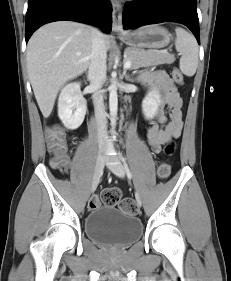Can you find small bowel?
<instances>
[{
  "mask_svg": "<svg viewBox=\"0 0 231 281\" xmlns=\"http://www.w3.org/2000/svg\"><path fill=\"white\" fill-rule=\"evenodd\" d=\"M138 80L148 90H156L159 104L167 105L168 117L160 115L159 123L150 122L147 128V141L152 151L158 154L163 144L178 138L181 134L183 100L171 78L164 71H145L138 76Z\"/></svg>",
  "mask_w": 231,
  "mask_h": 281,
  "instance_id": "obj_1",
  "label": "small bowel"
}]
</instances>
